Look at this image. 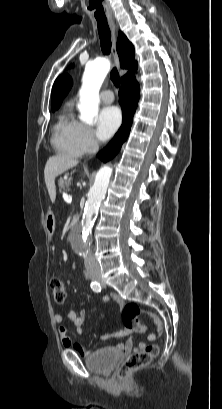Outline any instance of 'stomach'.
I'll return each mask as SVG.
<instances>
[{"instance_id": "stomach-1", "label": "stomach", "mask_w": 222, "mask_h": 409, "mask_svg": "<svg viewBox=\"0 0 222 409\" xmlns=\"http://www.w3.org/2000/svg\"><path fill=\"white\" fill-rule=\"evenodd\" d=\"M47 233L52 234L55 230V217L53 213H48L45 219Z\"/></svg>"}]
</instances>
